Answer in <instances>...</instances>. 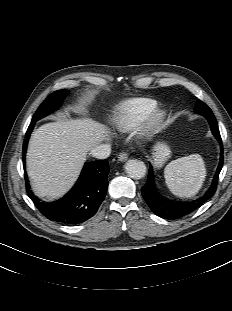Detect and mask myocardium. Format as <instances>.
Segmentation results:
<instances>
[{
	"instance_id": "myocardium-1",
	"label": "myocardium",
	"mask_w": 232,
	"mask_h": 311,
	"mask_svg": "<svg viewBox=\"0 0 232 311\" xmlns=\"http://www.w3.org/2000/svg\"><path fill=\"white\" fill-rule=\"evenodd\" d=\"M165 113L154 110L147 115L138 126V135L142 139L151 137L161 126Z\"/></svg>"
}]
</instances>
